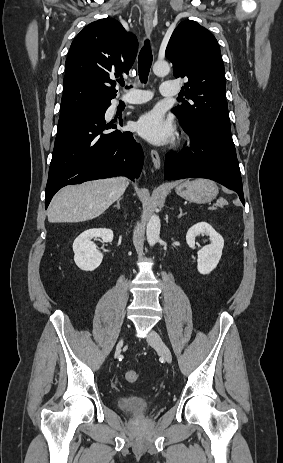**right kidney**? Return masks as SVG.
I'll return each mask as SVG.
<instances>
[{
    "label": "right kidney",
    "instance_id": "ca27d5eb",
    "mask_svg": "<svg viewBox=\"0 0 283 463\" xmlns=\"http://www.w3.org/2000/svg\"><path fill=\"white\" fill-rule=\"evenodd\" d=\"M95 237H100L105 242H112L114 235L110 229L93 228L84 231L74 240V261L81 270L93 271L102 262L103 254L91 241Z\"/></svg>",
    "mask_w": 283,
    "mask_h": 463
}]
</instances>
